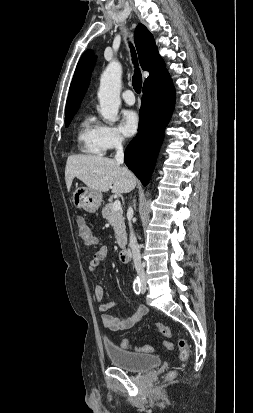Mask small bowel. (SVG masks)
Returning a JSON list of instances; mask_svg holds the SVG:
<instances>
[{"instance_id": "c3829d8e", "label": "small bowel", "mask_w": 253, "mask_h": 413, "mask_svg": "<svg viewBox=\"0 0 253 413\" xmlns=\"http://www.w3.org/2000/svg\"><path fill=\"white\" fill-rule=\"evenodd\" d=\"M107 256V248L101 247L93 256L89 264L90 271L97 270L104 259ZM94 296L98 302H101L104 297V290L101 286H96L94 289ZM116 308L114 302L101 303L99 305V312L101 314L102 323L105 328L112 331H122L132 328L136 325L146 314L147 309L144 306H140L136 311L129 317L119 318L113 316L111 312Z\"/></svg>"}]
</instances>
